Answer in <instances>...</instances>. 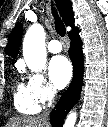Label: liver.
I'll return each mask as SVG.
<instances>
[{
	"mask_svg": "<svg viewBox=\"0 0 108 127\" xmlns=\"http://www.w3.org/2000/svg\"><path fill=\"white\" fill-rule=\"evenodd\" d=\"M5 127H50V123L41 117L25 116L10 118Z\"/></svg>",
	"mask_w": 108,
	"mask_h": 127,
	"instance_id": "liver-1",
	"label": "liver"
}]
</instances>
